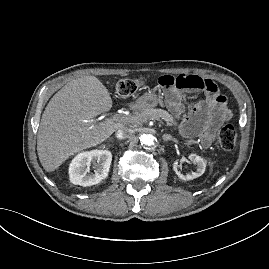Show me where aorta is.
I'll list each match as a JSON object with an SVG mask.
<instances>
[{"label": "aorta", "instance_id": "762f6f07", "mask_svg": "<svg viewBox=\"0 0 269 269\" xmlns=\"http://www.w3.org/2000/svg\"><path fill=\"white\" fill-rule=\"evenodd\" d=\"M141 144L145 146H153L156 138L152 134H143L140 138Z\"/></svg>", "mask_w": 269, "mask_h": 269}]
</instances>
